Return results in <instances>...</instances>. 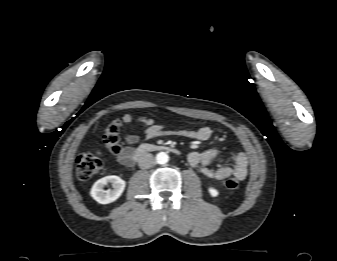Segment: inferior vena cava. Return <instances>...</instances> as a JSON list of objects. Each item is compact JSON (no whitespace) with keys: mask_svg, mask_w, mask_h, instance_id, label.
<instances>
[{"mask_svg":"<svg viewBox=\"0 0 337 261\" xmlns=\"http://www.w3.org/2000/svg\"><path fill=\"white\" fill-rule=\"evenodd\" d=\"M155 163V159L152 154L144 153L138 158V165L142 169H149Z\"/></svg>","mask_w":337,"mask_h":261,"instance_id":"1","label":"inferior vena cava"}]
</instances>
